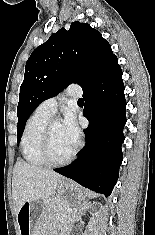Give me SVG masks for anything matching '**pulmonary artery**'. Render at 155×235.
Wrapping results in <instances>:
<instances>
[{
	"mask_svg": "<svg viewBox=\"0 0 155 235\" xmlns=\"http://www.w3.org/2000/svg\"><path fill=\"white\" fill-rule=\"evenodd\" d=\"M66 93L70 97L77 98L82 95V90L78 86H70L68 87ZM57 106H58V98L51 97L49 99L44 100L42 103H40V105L38 106V109L49 115H54L57 110Z\"/></svg>",
	"mask_w": 155,
	"mask_h": 235,
	"instance_id": "1",
	"label": "pulmonary artery"
}]
</instances>
